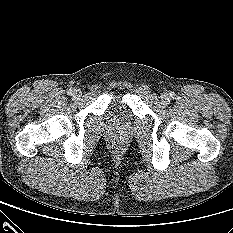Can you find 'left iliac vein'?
Returning <instances> with one entry per match:
<instances>
[{"label":"left iliac vein","mask_w":233,"mask_h":233,"mask_svg":"<svg viewBox=\"0 0 233 233\" xmlns=\"http://www.w3.org/2000/svg\"><path fill=\"white\" fill-rule=\"evenodd\" d=\"M160 100H161V103L166 105L168 104V102L170 101V97L168 94L166 93H163L161 96H160Z\"/></svg>","instance_id":"left-iliac-vein-1"}]
</instances>
